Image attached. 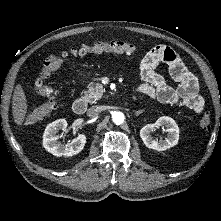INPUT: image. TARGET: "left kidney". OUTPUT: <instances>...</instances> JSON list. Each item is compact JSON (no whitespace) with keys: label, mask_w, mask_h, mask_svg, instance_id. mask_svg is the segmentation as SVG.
<instances>
[{"label":"left kidney","mask_w":221,"mask_h":221,"mask_svg":"<svg viewBox=\"0 0 221 221\" xmlns=\"http://www.w3.org/2000/svg\"><path fill=\"white\" fill-rule=\"evenodd\" d=\"M158 127H166L168 132L165 140H154L151 136V132ZM140 137L144 144L151 149L157 151H164L178 143L179 140V128L175 120L171 117L162 116L154 124H147L140 130Z\"/></svg>","instance_id":"left-kidney-1"}]
</instances>
